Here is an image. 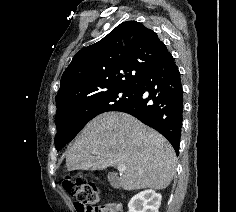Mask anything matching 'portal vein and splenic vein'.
<instances>
[{
    "mask_svg": "<svg viewBox=\"0 0 236 212\" xmlns=\"http://www.w3.org/2000/svg\"><path fill=\"white\" fill-rule=\"evenodd\" d=\"M92 154H98V151H96V150H92ZM118 171L119 172H122V171H124L125 169H126V167H125V165H118Z\"/></svg>",
    "mask_w": 236,
    "mask_h": 212,
    "instance_id": "1",
    "label": "portal vein and splenic vein"
}]
</instances>
